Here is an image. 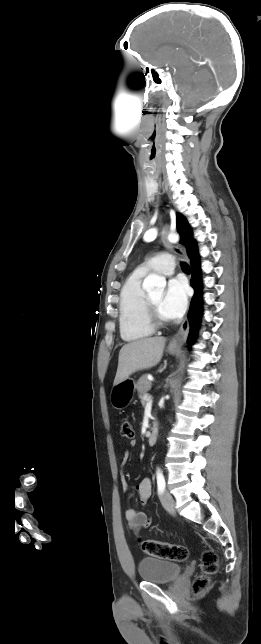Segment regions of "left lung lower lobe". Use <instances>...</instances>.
Returning a JSON list of instances; mask_svg holds the SVG:
<instances>
[{
    "label": "left lung lower lobe",
    "mask_w": 261,
    "mask_h": 644,
    "mask_svg": "<svg viewBox=\"0 0 261 644\" xmlns=\"http://www.w3.org/2000/svg\"><path fill=\"white\" fill-rule=\"evenodd\" d=\"M192 266V278L191 286L195 290V294L190 303V309L188 312V319L190 324V331L188 335V345L189 347L194 343V340L197 336V330L200 326L201 313H202V279H201V269H200V258L191 259Z\"/></svg>",
    "instance_id": "1"
}]
</instances>
